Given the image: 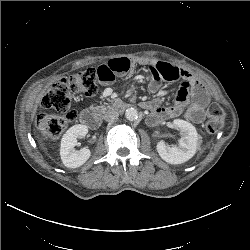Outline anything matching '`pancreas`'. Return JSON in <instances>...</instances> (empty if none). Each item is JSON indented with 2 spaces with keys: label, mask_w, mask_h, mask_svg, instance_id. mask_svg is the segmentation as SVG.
Returning a JSON list of instances; mask_svg holds the SVG:
<instances>
[{
  "label": "pancreas",
  "mask_w": 250,
  "mask_h": 250,
  "mask_svg": "<svg viewBox=\"0 0 250 250\" xmlns=\"http://www.w3.org/2000/svg\"><path fill=\"white\" fill-rule=\"evenodd\" d=\"M97 108L100 109L102 112H104L106 110V106H104V105L97 106Z\"/></svg>",
  "instance_id": "cf45deb5"
}]
</instances>
